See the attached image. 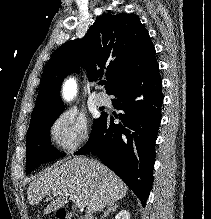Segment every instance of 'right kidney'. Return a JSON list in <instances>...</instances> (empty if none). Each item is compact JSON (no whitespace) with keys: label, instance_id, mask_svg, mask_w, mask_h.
Instances as JSON below:
<instances>
[{"label":"right kidney","instance_id":"ca27d5eb","mask_svg":"<svg viewBox=\"0 0 211 219\" xmlns=\"http://www.w3.org/2000/svg\"><path fill=\"white\" fill-rule=\"evenodd\" d=\"M115 219H130V213L127 210H122L115 216Z\"/></svg>","mask_w":211,"mask_h":219}]
</instances>
